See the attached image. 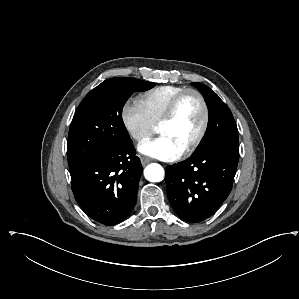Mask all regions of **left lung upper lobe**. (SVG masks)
<instances>
[{"mask_svg":"<svg viewBox=\"0 0 299 299\" xmlns=\"http://www.w3.org/2000/svg\"><path fill=\"white\" fill-rule=\"evenodd\" d=\"M191 84L202 93L209 109L206 133L193 155L216 148L239 153L238 129L228 106L208 86Z\"/></svg>","mask_w":299,"mask_h":299,"instance_id":"5c2ea615","label":"left lung upper lobe"}]
</instances>
